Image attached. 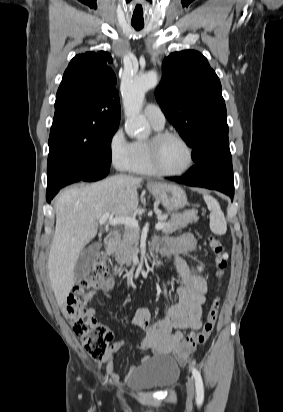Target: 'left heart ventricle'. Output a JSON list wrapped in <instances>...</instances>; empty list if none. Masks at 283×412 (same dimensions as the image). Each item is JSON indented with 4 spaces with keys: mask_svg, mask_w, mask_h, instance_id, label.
<instances>
[{
    "mask_svg": "<svg viewBox=\"0 0 283 412\" xmlns=\"http://www.w3.org/2000/svg\"><path fill=\"white\" fill-rule=\"evenodd\" d=\"M189 160L185 145L175 138H168L161 146L159 162L163 170L177 172L185 168Z\"/></svg>",
    "mask_w": 283,
    "mask_h": 412,
    "instance_id": "b2bd125f",
    "label": "left heart ventricle"
}]
</instances>
